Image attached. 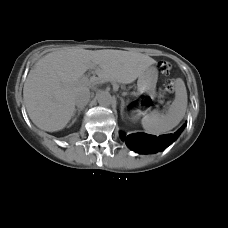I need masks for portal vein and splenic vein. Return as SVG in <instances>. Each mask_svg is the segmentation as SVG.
Here are the masks:
<instances>
[{
	"instance_id": "18ae733b",
	"label": "portal vein and splenic vein",
	"mask_w": 228,
	"mask_h": 228,
	"mask_svg": "<svg viewBox=\"0 0 228 228\" xmlns=\"http://www.w3.org/2000/svg\"><path fill=\"white\" fill-rule=\"evenodd\" d=\"M96 80L95 77H91L90 80L87 76H84L80 81L83 83L94 82Z\"/></svg>"
}]
</instances>
